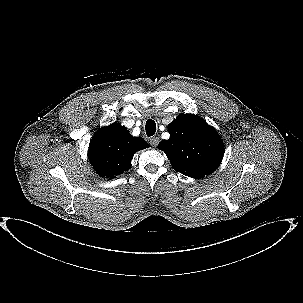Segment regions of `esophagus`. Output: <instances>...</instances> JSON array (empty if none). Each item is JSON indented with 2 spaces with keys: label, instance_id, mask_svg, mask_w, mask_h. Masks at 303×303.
<instances>
[{
  "label": "esophagus",
  "instance_id": "1",
  "mask_svg": "<svg viewBox=\"0 0 303 303\" xmlns=\"http://www.w3.org/2000/svg\"><path fill=\"white\" fill-rule=\"evenodd\" d=\"M159 143V138L158 137H152L150 138V145L153 147H156Z\"/></svg>",
  "mask_w": 303,
  "mask_h": 303
}]
</instances>
